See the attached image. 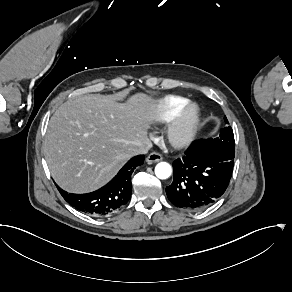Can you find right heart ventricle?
<instances>
[{"label":"right heart ventricle","mask_w":292,"mask_h":292,"mask_svg":"<svg viewBox=\"0 0 292 292\" xmlns=\"http://www.w3.org/2000/svg\"><path fill=\"white\" fill-rule=\"evenodd\" d=\"M188 103V99L180 95H166L158 100L155 119L159 123L167 122L180 108Z\"/></svg>","instance_id":"1"}]
</instances>
